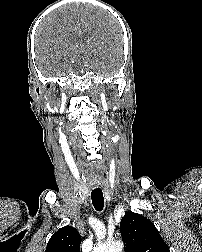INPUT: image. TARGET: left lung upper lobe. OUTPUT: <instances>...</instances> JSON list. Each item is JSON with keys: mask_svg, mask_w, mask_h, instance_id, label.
I'll return each instance as SVG.
<instances>
[{"mask_svg": "<svg viewBox=\"0 0 202 252\" xmlns=\"http://www.w3.org/2000/svg\"><path fill=\"white\" fill-rule=\"evenodd\" d=\"M125 252H170L154 224L146 217L133 212L121 219Z\"/></svg>", "mask_w": 202, "mask_h": 252, "instance_id": "obj_1", "label": "left lung upper lobe"}]
</instances>
